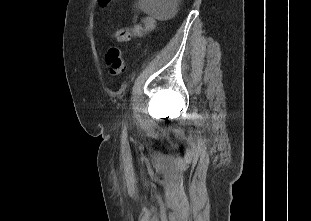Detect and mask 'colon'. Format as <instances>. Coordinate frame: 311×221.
Here are the masks:
<instances>
[{"label": "colon", "mask_w": 311, "mask_h": 221, "mask_svg": "<svg viewBox=\"0 0 311 221\" xmlns=\"http://www.w3.org/2000/svg\"><path fill=\"white\" fill-rule=\"evenodd\" d=\"M96 8L104 9L105 4H108L109 0H96ZM115 38L120 41L128 40V30L123 28L116 32ZM109 73L112 76H118L125 72V62L121 52L116 48H110L107 52L106 58Z\"/></svg>", "instance_id": "colon-1"}]
</instances>
